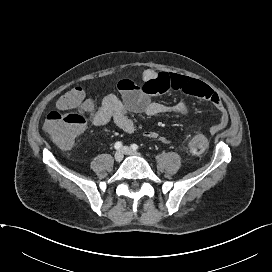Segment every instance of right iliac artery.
Instances as JSON below:
<instances>
[{
  "label": "right iliac artery",
  "mask_w": 272,
  "mask_h": 272,
  "mask_svg": "<svg viewBox=\"0 0 272 272\" xmlns=\"http://www.w3.org/2000/svg\"><path fill=\"white\" fill-rule=\"evenodd\" d=\"M114 147H115L116 150L121 149L122 148V142H119V141L116 142L115 145H114Z\"/></svg>",
  "instance_id": "right-iliac-artery-1"
}]
</instances>
